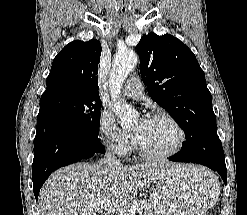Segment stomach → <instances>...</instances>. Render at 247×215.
Here are the masks:
<instances>
[{"instance_id":"obj_1","label":"stomach","mask_w":247,"mask_h":215,"mask_svg":"<svg viewBox=\"0 0 247 215\" xmlns=\"http://www.w3.org/2000/svg\"><path fill=\"white\" fill-rule=\"evenodd\" d=\"M218 179L203 167L164 169L153 181L150 202L158 215H205L214 204Z\"/></svg>"}]
</instances>
